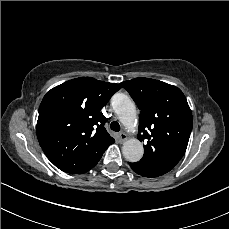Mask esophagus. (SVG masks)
I'll return each instance as SVG.
<instances>
[{
	"instance_id": "34e87169",
	"label": "esophagus",
	"mask_w": 229,
	"mask_h": 229,
	"mask_svg": "<svg viewBox=\"0 0 229 229\" xmlns=\"http://www.w3.org/2000/svg\"><path fill=\"white\" fill-rule=\"evenodd\" d=\"M119 138L121 142L127 140V135L124 132L119 133Z\"/></svg>"
}]
</instances>
